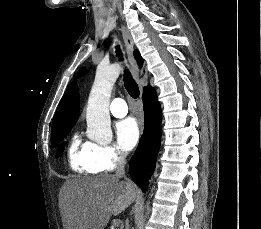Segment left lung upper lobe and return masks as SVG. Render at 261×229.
I'll list each match as a JSON object with an SVG mask.
<instances>
[{
    "label": "left lung upper lobe",
    "instance_id": "1",
    "mask_svg": "<svg viewBox=\"0 0 261 229\" xmlns=\"http://www.w3.org/2000/svg\"><path fill=\"white\" fill-rule=\"evenodd\" d=\"M84 73V69H81L80 71H79V75H82Z\"/></svg>",
    "mask_w": 261,
    "mask_h": 229
}]
</instances>
